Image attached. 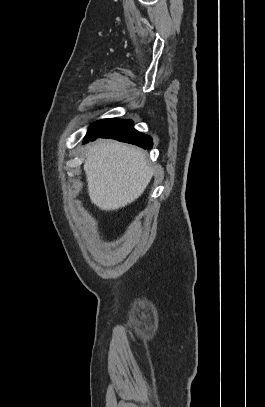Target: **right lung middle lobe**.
Returning a JSON list of instances; mask_svg holds the SVG:
<instances>
[{
  "label": "right lung middle lobe",
  "instance_id": "1",
  "mask_svg": "<svg viewBox=\"0 0 265 407\" xmlns=\"http://www.w3.org/2000/svg\"><path fill=\"white\" fill-rule=\"evenodd\" d=\"M121 121L122 120H118V119H104V120L97 121L89 128L86 137L101 134V133L109 130L110 128H112L113 126H115L116 124H118Z\"/></svg>",
  "mask_w": 265,
  "mask_h": 407
}]
</instances>
